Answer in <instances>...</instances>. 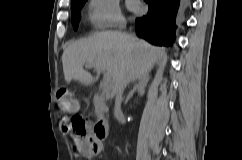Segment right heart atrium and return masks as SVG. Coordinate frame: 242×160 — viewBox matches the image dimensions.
<instances>
[{
  "mask_svg": "<svg viewBox=\"0 0 242 160\" xmlns=\"http://www.w3.org/2000/svg\"><path fill=\"white\" fill-rule=\"evenodd\" d=\"M89 19L96 29H108L123 24L118 0H89Z\"/></svg>",
  "mask_w": 242,
  "mask_h": 160,
  "instance_id": "obj_1",
  "label": "right heart atrium"
}]
</instances>
